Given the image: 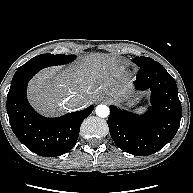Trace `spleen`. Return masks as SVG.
I'll use <instances>...</instances> for the list:
<instances>
[{"instance_id":"3e777b00","label":"spleen","mask_w":193,"mask_h":193,"mask_svg":"<svg viewBox=\"0 0 193 193\" xmlns=\"http://www.w3.org/2000/svg\"><path fill=\"white\" fill-rule=\"evenodd\" d=\"M143 110H144V107H140V108H138V109H136V112H143Z\"/></svg>"}]
</instances>
